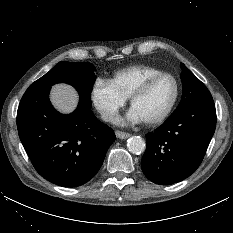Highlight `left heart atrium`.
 I'll return each mask as SVG.
<instances>
[{
  "label": "left heart atrium",
  "instance_id": "39dd6f15",
  "mask_svg": "<svg viewBox=\"0 0 233 233\" xmlns=\"http://www.w3.org/2000/svg\"><path fill=\"white\" fill-rule=\"evenodd\" d=\"M142 120L143 119L140 116V114L133 108L129 110L125 118V121H129V122H140Z\"/></svg>",
  "mask_w": 233,
  "mask_h": 233
}]
</instances>
